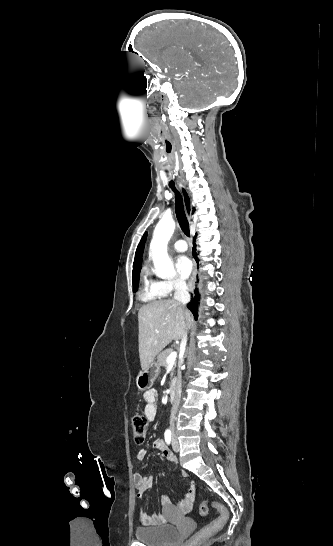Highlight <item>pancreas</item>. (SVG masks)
Instances as JSON below:
<instances>
[{
	"label": "pancreas",
	"instance_id": "pancreas-1",
	"mask_svg": "<svg viewBox=\"0 0 333 546\" xmlns=\"http://www.w3.org/2000/svg\"><path fill=\"white\" fill-rule=\"evenodd\" d=\"M172 348H167L161 351L157 356V362L160 366L167 367V357L171 354Z\"/></svg>",
	"mask_w": 333,
	"mask_h": 546
}]
</instances>
